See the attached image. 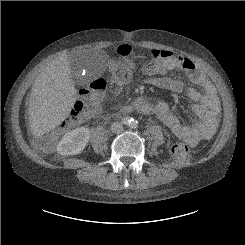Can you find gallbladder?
<instances>
[{
    "label": "gallbladder",
    "mask_w": 245,
    "mask_h": 245,
    "mask_svg": "<svg viewBox=\"0 0 245 245\" xmlns=\"http://www.w3.org/2000/svg\"><path fill=\"white\" fill-rule=\"evenodd\" d=\"M70 68L72 70V79L75 84H81L83 81H81L79 75H80V62L78 57L74 56L70 58Z\"/></svg>",
    "instance_id": "1"
}]
</instances>
